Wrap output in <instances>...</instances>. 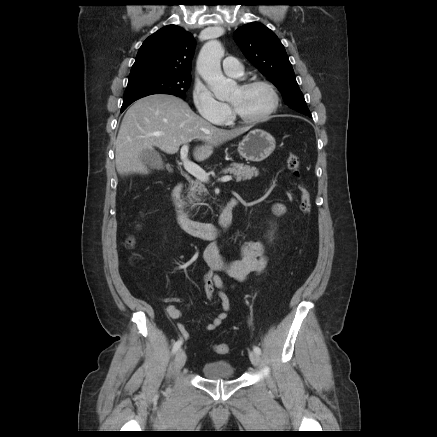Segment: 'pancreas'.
<instances>
[{"label": "pancreas", "mask_w": 437, "mask_h": 437, "mask_svg": "<svg viewBox=\"0 0 437 437\" xmlns=\"http://www.w3.org/2000/svg\"><path fill=\"white\" fill-rule=\"evenodd\" d=\"M225 173L233 174L237 182H240L241 180H250L259 175L256 167H250L239 163L231 164V167L228 168ZM202 194H208L204 184L198 181L192 182L188 190V198L193 207L196 205H205V203L201 202L200 196H202Z\"/></svg>", "instance_id": "1"}]
</instances>
